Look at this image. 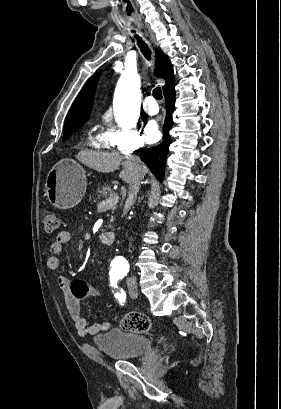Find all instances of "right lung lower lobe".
Segmentation results:
<instances>
[{
    "mask_svg": "<svg viewBox=\"0 0 281 409\" xmlns=\"http://www.w3.org/2000/svg\"><path fill=\"white\" fill-rule=\"evenodd\" d=\"M165 103L167 107V116L163 126V142L156 146L141 151V159L148 165L155 177L162 181L164 177L165 158L169 151V145L171 138L168 135L169 130L172 127V112L174 110L175 91L174 87L168 91L165 95Z\"/></svg>",
    "mask_w": 281,
    "mask_h": 409,
    "instance_id": "right-lung-lower-lobe-1",
    "label": "right lung lower lobe"
}]
</instances>
